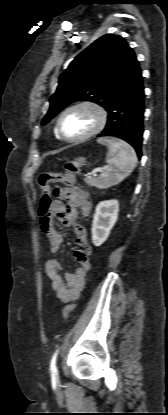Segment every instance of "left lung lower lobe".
<instances>
[{"label":"left lung lower lobe","mask_w":168,"mask_h":415,"mask_svg":"<svg viewBox=\"0 0 168 415\" xmlns=\"http://www.w3.org/2000/svg\"><path fill=\"white\" fill-rule=\"evenodd\" d=\"M144 86L138 66L116 92L108 107V121L98 136H114L131 144L138 157L142 156Z\"/></svg>","instance_id":"obj_1"}]
</instances>
